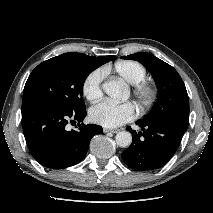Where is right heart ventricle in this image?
<instances>
[{
	"label": "right heart ventricle",
	"mask_w": 213,
	"mask_h": 213,
	"mask_svg": "<svg viewBox=\"0 0 213 213\" xmlns=\"http://www.w3.org/2000/svg\"><path fill=\"white\" fill-rule=\"evenodd\" d=\"M115 71L127 83L134 85L146 77L145 68L135 61H120L115 64Z\"/></svg>",
	"instance_id": "1"
}]
</instances>
